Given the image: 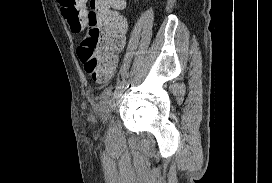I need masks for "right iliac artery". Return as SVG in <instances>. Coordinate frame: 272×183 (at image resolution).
Instances as JSON below:
<instances>
[{
  "instance_id": "obj_1",
  "label": "right iliac artery",
  "mask_w": 272,
  "mask_h": 183,
  "mask_svg": "<svg viewBox=\"0 0 272 183\" xmlns=\"http://www.w3.org/2000/svg\"><path fill=\"white\" fill-rule=\"evenodd\" d=\"M112 93V86L107 87L101 94V99L104 100L109 97Z\"/></svg>"
}]
</instances>
